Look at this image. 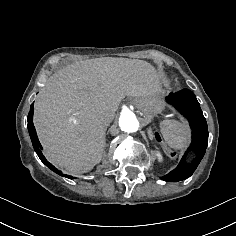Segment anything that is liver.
Returning <instances> with one entry per match:
<instances>
[{
	"mask_svg": "<svg viewBox=\"0 0 236 236\" xmlns=\"http://www.w3.org/2000/svg\"><path fill=\"white\" fill-rule=\"evenodd\" d=\"M161 88L150 63L103 57L68 65L40 91L34 125L47 159L70 173L100 163L105 132L126 96L142 101Z\"/></svg>",
	"mask_w": 236,
	"mask_h": 236,
	"instance_id": "liver-1",
	"label": "liver"
}]
</instances>
